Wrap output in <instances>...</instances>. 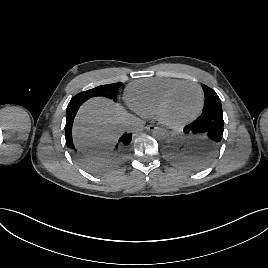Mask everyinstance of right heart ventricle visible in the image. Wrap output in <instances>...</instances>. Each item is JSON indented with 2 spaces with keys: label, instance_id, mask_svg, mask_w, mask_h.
Instances as JSON below:
<instances>
[{
  "label": "right heart ventricle",
  "instance_id": "1",
  "mask_svg": "<svg viewBox=\"0 0 268 268\" xmlns=\"http://www.w3.org/2000/svg\"><path fill=\"white\" fill-rule=\"evenodd\" d=\"M182 82L185 81L175 78H149L135 81L127 88V102L134 111L143 116H156L164 95Z\"/></svg>",
  "mask_w": 268,
  "mask_h": 268
}]
</instances>
